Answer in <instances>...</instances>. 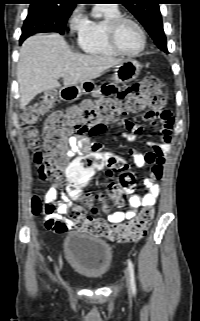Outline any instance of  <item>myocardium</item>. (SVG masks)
<instances>
[{
    "instance_id": "obj_1",
    "label": "myocardium",
    "mask_w": 200,
    "mask_h": 321,
    "mask_svg": "<svg viewBox=\"0 0 200 321\" xmlns=\"http://www.w3.org/2000/svg\"><path fill=\"white\" fill-rule=\"evenodd\" d=\"M124 22H130L132 23L139 31L141 38H142V45L141 47L135 51V52H127L125 50H123L117 41V32L118 29L120 27V25ZM107 40L109 45L111 46V48L117 52L119 55H123V56H128V57H135L138 56L139 54H141L145 47H146V43H147V38H146V33L143 29V27L141 26V24L135 20L134 18L127 16V15H120L117 16L115 18H113L107 26Z\"/></svg>"
}]
</instances>
